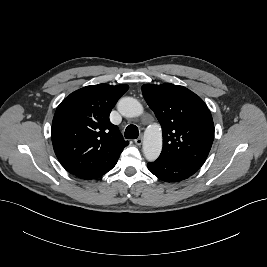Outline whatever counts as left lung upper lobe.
Returning a JSON list of instances; mask_svg holds the SVG:
<instances>
[{"instance_id":"obj_1","label":"left lung upper lobe","mask_w":267,"mask_h":267,"mask_svg":"<svg viewBox=\"0 0 267 267\" xmlns=\"http://www.w3.org/2000/svg\"><path fill=\"white\" fill-rule=\"evenodd\" d=\"M142 94L162 127L159 158L201 167L214 139L213 119L203 100L189 89L171 83L145 84Z\"/></svg>"}]
</instances>
